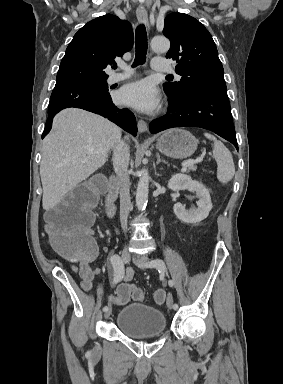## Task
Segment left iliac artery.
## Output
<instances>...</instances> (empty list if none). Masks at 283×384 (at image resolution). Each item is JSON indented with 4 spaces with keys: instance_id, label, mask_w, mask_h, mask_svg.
<instances>
[{
    "instance_id": "left-iliac-artery-1",
    "label": "left iliac artery",
    "mask_w": 283,
    "mask_h": 384,
    "mask_svg": "<svg viewBox=\"0 0 283 384\" xmlns=\"http://www.w3.org/2000/svg\"><path fill=\"white\" fill-rule=\"evenodd\" d=\"M146 267H149V268H156L160 273H164L165 270H166V266H165V263L163 260L161 259H154V260H151L150 262H148L146 265ZM169 286L170 287H173L174 285V282L172 280H169L168 282ZM173 308L174 310H177L178 309V304L174 303L173 304Z\"/></svg>"
}]
</instances>
